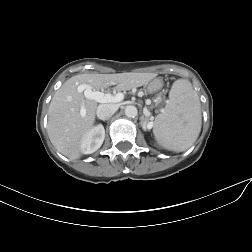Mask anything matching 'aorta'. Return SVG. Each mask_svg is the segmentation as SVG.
Wrapping results in <instances>:
<instances>
[{
    "mask_svg": "<svg viewBox=\"0 0 252 252\" xmlns=\"http://www.w3.org/2000/svg\"><path fill=\"white\" fill-rule=\"evenodd\" d=\"M124 111L125 115L129 118H134L138 114L137 108L133 105H127Z\"/></svg>",
    "mask_w": 252,
    "mask_h": 252,
    "instance_id": "obj_1",
    "label": "aorta"
}]
</instances>
